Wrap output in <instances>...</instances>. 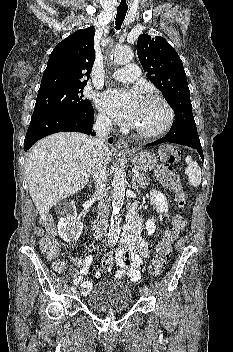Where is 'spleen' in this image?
<instances>
[{
    "label": "spleen",
    "instance_id": "1",
    "mask_svg": "<svg viewBox=\"0 0 233 352\" xmlns=\"http://www.w3.org/2000/svg\"><path fill=\"white\" fill-rule=\"evenodd\" d=\"M185 162L188 164L185 173L188 176L189 184L197 187L201 183V169L198 163L193 161L191 156H187Z\"/></svg>",
    "mask_w": 233,
    "mask_h": 352
}]
</instances>
